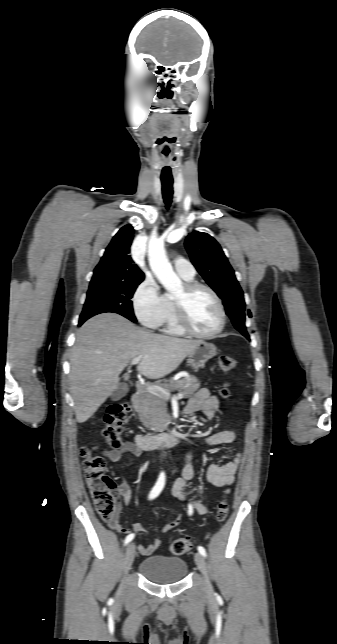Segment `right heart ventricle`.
<instances>
[{
    "label": "right heart ventricle",
    "instance_id": "e07e8e85",
    "mask_svg": "<svg viewBox=\"0 0 337 644\" xmlns=\"http://www.w3.org/2000/svg\"><path fill=\"white\" fill-rule=\"evenodd\" d=\"M185 281L190 282L193 280V277H184L181 276ZM165 313L163 316V319L161 321V324L159 325L162 329V332L171 335V336H181L184 334V332L179 328L175 315H174V307H173V298L170 295H165Z\"/></svg>",
    "mask_w": 337,
    "mask_h": 644
}]
</instances>
